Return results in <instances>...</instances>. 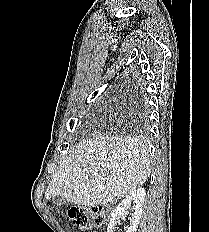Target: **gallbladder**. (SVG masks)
I'll return each mask as SVG.
<instances>
[{"mask_svg": "<svg viewBox=\"0 0 209 232\" xmlns=\"http://www.w3.org/2000/svg\"><path fill=\"white\" fill-rule=\"evenodd\" d=\"M64 202H65V200H64L61 196H55V197L53 198V203H54L56 206H60V205H62Z\"/></svg>", "mask_w": 209, "mask_h": 232, "instance_id": "gallbladder-1", "label": "gallbladder"}]
</instances>
